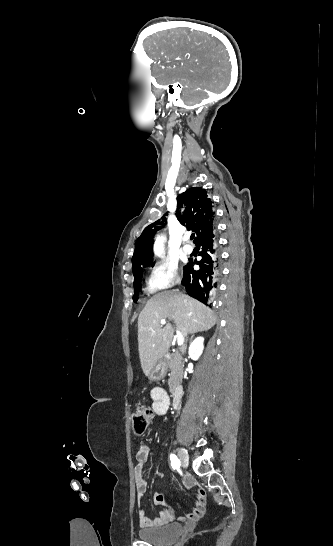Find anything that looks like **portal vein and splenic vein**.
Returning <instances> with one entry per match:
<instances>
[{"mask_svg": "<svg viewBox=\"0 0 333 546\" xmlns=\"http://www.w3.org/2000/svg\"><path fill=\"white\" fill-rule=\"evenodd\" d=\"M166 321H167L166 318L161 319V321H160L161 325H165ZM176 338H177L178 346H182L183 343H184V337H183V335L180 333V331L178 329H176Z\"/></svg>", "mask_w": 333, "mask_h": 546, "instance_id": "portal-vein-and-splenic-vein-1", "label": "portal vein and splenic vein"}]
</instances>
